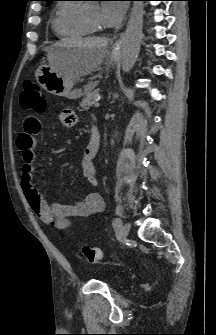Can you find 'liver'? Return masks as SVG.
Returning a JSON list of instances; mask_svg holds the SVG:
<instances>
[{"label": "liver", "instance_id": "1", "mask_svg": "<svg viewBox=\"0 0 216 335\" xmlns=\"http://www.w3.org/2000/svg\"><path fill=\"white\" fill-rule=\"evenodd\" d=\"M58 46H72L78 51L63 67L62 71L73 79L91 74L103 63L108 47V39L89 38L71 42L62 40L56 43Z\"/></svg>", "mask_w": 216, "mask_h": 335}]
</instances>
